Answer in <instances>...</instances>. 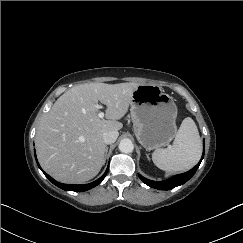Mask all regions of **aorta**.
<instances>
[{
    "instance_id": "aorta-1",
    "label": "aorta",
    "mask_w": 243,
    "mask_h": 243,
    "mask_svg": "<svg viewBox=\"0 0 243 243\" xmlns=\"http://www.w3.org/2000/svg\"><path fill=\"white\" fill-rule=\"evenodd\" d=\"M118 148L122 153H131L134 150V145L130 139H122Z\"/></svg>"
}]
</instances>
